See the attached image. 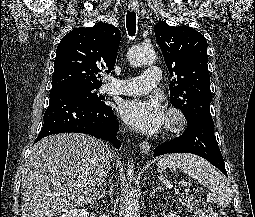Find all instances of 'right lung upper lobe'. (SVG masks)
Here are the masks:
<instances>
[{"label":"right lung upper lobe","instance_id":"1","mask_svg":"<svg viewBox=\"0 0 255 217\" xmlns=\"http://www.w3.org/2000/svg\"><path fill=\"white\" fill-rule=\"evenodd\" d=\"M119 44V29L108 23L73 29L57 47L52 87H101L100 73L114 68Z\"/></svg>","mask_w":255,"mask_h":217}]
</instances>
